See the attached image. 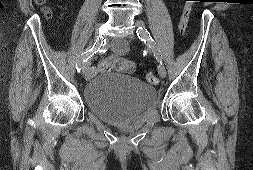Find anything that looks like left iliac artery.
<instances>
[{
  "instance_id": "left-iliac-artery-1",
  "label": "left iliac artery",
  "mask_w": 253,
  "mask_h": 170,
  "mask_svg": "<svg viewBox=\"0 0 253 170\" xmlns=\"http://www.w3.org/2000/svg\"><path fill=\"white\" fill-rule=\"evenodd\" d=\"M137 36L141 41H143L145 44L149 45L154 53V56L158 61L161 62V55L158 47L156 46V43L154 42L153 38L151 37L150 33L147 31V29L143 27H139L137 29Z\"/></svg>"
}]
</instances>
